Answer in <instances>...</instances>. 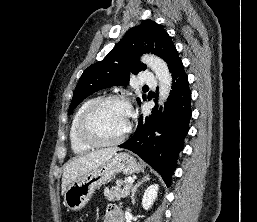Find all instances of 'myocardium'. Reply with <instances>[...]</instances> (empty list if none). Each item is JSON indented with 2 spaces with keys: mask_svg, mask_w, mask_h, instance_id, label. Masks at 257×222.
<instances>
[{
  "mask_svg": "<svg viewBox=\"0 0 257 222\" xmlns=\"http://www.w3.org/2000/svg\"><path fill=\"white\" fill-rule=\"evenodd\" d=\"M111 102H117L120 104H123L129 111H130V103L127 99H125L122 96L117 95H111L107 97H103L100 99L95 100L83 113L81 116V119L79 121L78 125V135L79 138L86 144L92 146V147H110V146H116L120 143H122L130 134L132 130V122L129 121V125L125 132L120 135L118 138L111 140V141H105L98 139L90 130L89 128V122L92 118V116L95 114V112L100 109L105 104L111 103Z\"/></svg>",
  "mask_w": 257,
  "mask_h": 222,
  "instance_id": "obj_1",
  "label": "myocardium"
}]
</instances>
